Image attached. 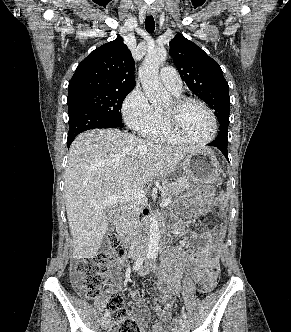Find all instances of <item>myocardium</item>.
Wrapping results in <instances>:
<instances>
[{"label": "myocardium", "instance_id": "1", "mask_svg": "<svg viewBox=\"0 0 291 332\" xmlns=\"http://www.w3.org/2000/svg\"><path fill=\"white\" fill-rule=\"evenodd\" d=\"M189 104H197L201 106L209 115L211 122H212V132L211 134L202 140L194 139L188 136L181 128L180 125V113L183 108H185ZM163 115L165 117L167 126L169 130L178 138L184 140L185 142L197 144V145H204L212 140L217 135L218 131V124L217 118L213 110L203 101L193 98V97H176L172 100V105L168 109H163Z\"/></svg>", "mask_w": 291, "mask_h": 332}]
</instances>
